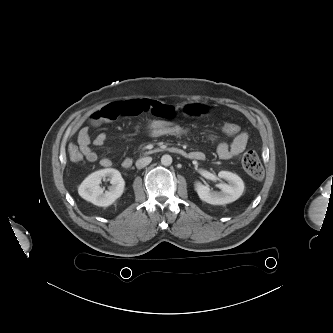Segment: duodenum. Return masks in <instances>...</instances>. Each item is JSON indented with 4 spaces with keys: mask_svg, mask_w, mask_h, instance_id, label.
Segmentation results:
<instances>
[{
    "mask_svg": "<svg viewBox=\"0 0 333 333\" xmlns=\"http://www.w3.org/2000/svg\"><path fill=\"white\" fill-rule=\"evenodd\" d=\"M169 151L177 154H183V151L176 147L169 148ZM131 166H132V160L130 158H125L122 162V167L125 169H129Z\"/></svg>",
    "mask_w": 333,
    "mask_h": 333,
    "instance_id": "410a0bca",
    "label": "duodenum"
}]
</instances>
